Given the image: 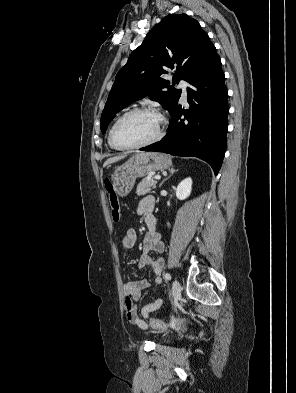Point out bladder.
Segmentation results:
<instances>
[{"label": "bladder", "instance_id": "31cf9c89", "mask_svg": "<svg viewBox=\"0 0 296 393\" xmlns=\"http://www.w3.org/2000/svg\"><path fill=\"white\" fill-rule=\"evenodd\" d=\"M164 342L166 343V342H169V338H165L164 339Z\"/></svg>", "mask_w": 296, "mask_h": 393}]
</instances>
